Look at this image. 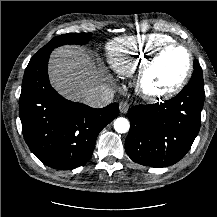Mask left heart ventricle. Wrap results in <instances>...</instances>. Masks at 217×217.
<instances>
[{
  "mask_svg": "<svg viewBox=\"0 0 217 217\" xmlns=\"http://www.w3.org/2000/svg\"><path fill=\"white\" fill-rule=\"evenodd\" d=\"M188 58L180 49L166 51L151 70L147 85L153 91L171 88L187 69Z\"/></svg>",
  "mask_w": 217,
  "mask_h": 217,
  "instance_id": "b2bd125f",
  "label": "left heart ventricle"
}]
</instances>
